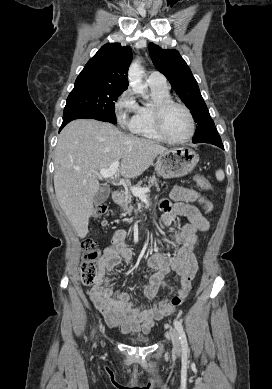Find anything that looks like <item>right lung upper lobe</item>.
<instances>
[{
	"label": "right lung upper lobe",
	"instance_id": "cb5924a9",
	"mask_svg": "<svg viewBox=\"0 0 272 389\" xmlns=\"http://www.w3.org/2000/svg\"><path fill=\"white\" fill-rule=\"evenodd\" d=\"M132 51L119 43H108L92 57L77 77L75 84H94L127 89V71Z\"/></svg>",
	"mask_w": 272,
	"mask_h": 389
}]
</instances>
